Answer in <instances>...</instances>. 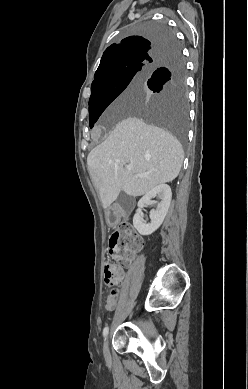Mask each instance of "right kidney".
Returning a JSON list of instances; mask_svg holds the SVG:
<instances>
[{
	"mask_svg": "<svg viewBox=\"0 0 248 389\" xmlns=\"http://www.w3.org/2000/svg\"><path fill=\"white\" fill-rule=\"evenodd\" d=\"M155 197H158L160 201L158 202L157 208L155 210H151V223L147 224L143 221L141 209L145 205L150 204L152 202L151 199ZM171 198V188L167 184H160L146 193V195L138 202V212L133 217V226L139 234L150 235L161 226L168 212Z\"/></svg>",
	"mask_w": 248,
	"mask_h": 389,
	"instance_id": "right-kidney-1",
	"label": "right kidney"
}]
</instances>
